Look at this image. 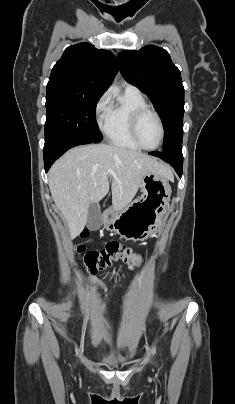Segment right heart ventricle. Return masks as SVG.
<instances>
[{"mask_svg": "<svg viewBox=\"0 0 235 404\" xmlns=\"http://www.w3.org/2000/svg\"><path fill=\"white\" fill-rule=\"evenodd\" d=\"M147 106L139 91L123 92L121 98L112 103L102 128L108 141L118 147L139 150L130 133V120L135 110Z\"/></svg>", "mask_w": 235, "mask_h": 404, "instance_id": "right-heart-ventricle-1", "label": "right heart ventricle"}]
</instances>
